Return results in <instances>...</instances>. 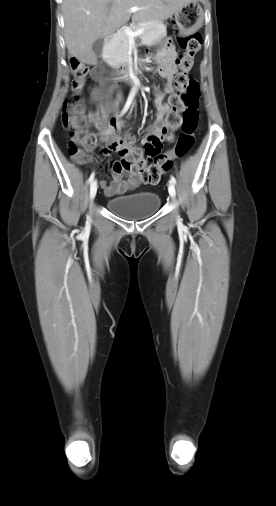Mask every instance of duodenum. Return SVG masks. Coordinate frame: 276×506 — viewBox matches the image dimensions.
Returning a JSON list of instances; mask_svg holds the SVG:
<instances>
[{
  "label": "duodenum",
  "instance_id": "obj_1",
  "mask_svg": "<svg viewBox=\"0 0 276 506\" xmlns=\"http://www.w3.org/2000/svg\"><path fill=\"white\" fill-rule=\"evenodd\" d=\"M113 39H114V35H112V34L106 36L105 39H104V44L106 46H108L113 41ZM116 69H117L118 75H119V77L121 79H124V80H135V78H136V69L129 68L128 66L120 65V64L116 65Z\"/></svg>",
  "mask_w": 276,
  "mask_h": 506
}]
</instances>
